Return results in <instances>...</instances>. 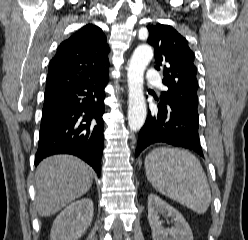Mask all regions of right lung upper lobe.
Masks as SVG:
<instances>
[{
    "mask_svg": "<svg viewBox=\"0 0 248 240\" xmlns=\"http://www.w3.org/2000/svg\"><path fill=\"white\" fill-rule=\"evenodd\" d=\"M102 29L87 24L62 42L49 63L45 94L107 76L109 46Z\"/></svg>",
    "mask_w": 248,
    "mask_h": 240,
    "instance_id": "obj_1",
    "label": "right lung upper lobe"
}]
</instances>
